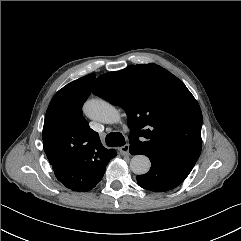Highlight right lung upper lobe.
Here are the masks:
<instances>
[{
	"instance_id": "cb5924a9",
	"label": "right lung upper lobe",
	"mask_w": 241,
	"mask_h": 241,
	"mask_svg": "<svg viewBox=\"0 0 241 241\" xmlns=\"http://www.w3.org/2000/svg\"><path fill=\"white\" fill-rule=\"evenodd\" d=\"M95 74L79 78L52 98L43 126V147L50 164L66 161L99 162L112 158L97 132L82 116L81 107L91 93Z\"/></svg>"
}]
</instances>
